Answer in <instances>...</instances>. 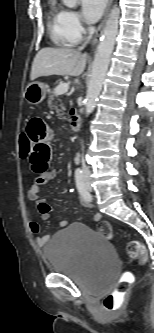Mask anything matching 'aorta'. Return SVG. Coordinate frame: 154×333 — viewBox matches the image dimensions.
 <instances>
[{"mask_svg": "<svg viewBox=\"0 0 154 333\" xmlns=\"http://www.w3.org/2000/svg\"><path fill=\"white\" fill-rule=\"evenodd\" d=\"M77 2L78 0H63V3L69 8H74ZM119 14V8L117 5H114L106 21L100 43L96 50L85 99L86 115L93 112L102 90V85L108 70L110 57L118 33Z\"/></svg>", "mask_w": 154, "mask_h": 333, "instance_id": "762f6f07", "label": "aorta"}]
</instances>
